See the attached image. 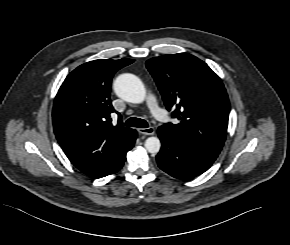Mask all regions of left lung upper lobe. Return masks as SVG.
I'll list each match as a JSON object with an SVG mask.
<instances>
[{
	"label": "left lung upper lobe",
	"mask_w": 290,
	"mask_h": 245,
	"mask_svg": "<svg viewBox=\"0 0 290 245\" xmlns=\"http://www.w3.org/2000/svg\"><path fill=\"white\" fill-rule=\"evenodd\" d=\"M172 117L178 124L160 128L172 136L219 154L227 134L229 99L221 79L188 53L163 55L146 62Z\"/></svg>",
	"instance_id": "5c2ea615"
}]
</instances>
